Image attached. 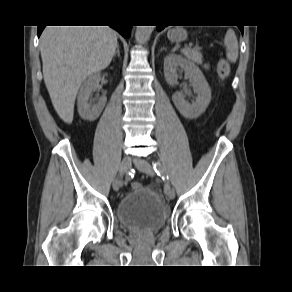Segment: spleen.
Segmentation results:
<instances>
[{
  "label": "spleen",
  "instance_id": "spleen-1",
  "mask_svg": "<svg viewBox=\"0 0 292 292\" xmlns=\"http://www.w3.org/2000/svg\"><path fill=\"white\" fill-rule=\"evenodd\" d=\"M224 43L226 46V56L230 62H236L238 58V41L232 29H229L225 35Z\"/></svg>",
  "mask_w": 292,
  "mask_h": 292
}]
</instances>
